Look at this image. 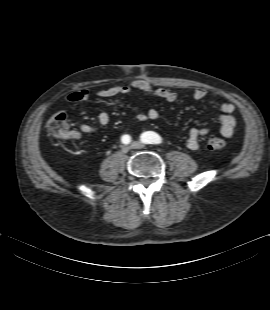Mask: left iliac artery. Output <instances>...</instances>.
Listing matches in <instances>:
<instances>
[{
    "label": "left iliac artery",
    "instance_id": "44dca946",
    "mask_svg": "<svg viewBox=\"0 0 270 310\" xmlns=\"http://www.w3.org/2000/svg\"><path fill=\"white\" fill-rule=\"evenodd\" d=\"M140 140L145 144H160L162 142V138L152 131L144 132L141 135Z\"/></svg>",
    "mask_w": 270,
    "mask_h": 310
}]
</instances>
